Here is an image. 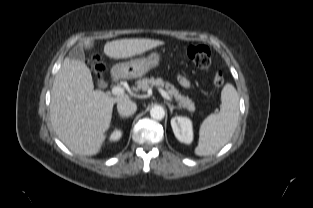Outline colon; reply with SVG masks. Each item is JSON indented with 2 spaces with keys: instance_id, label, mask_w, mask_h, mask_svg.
I'll use <instances>...</instances> for the list:
<instances>
[{
  "instance_id": "1",
  "label": "colon",
  "mask_w": 313,
  "mask_h": 208,
  "mask_svg": "<svg viewBox=\"0 0 313 208\" xmlns=\"http://www.w3.org/2000/svg\"><path fill=\"white\" fill-rule=\"evenodd\" d=\"M187 58L200 69H208L211 65V52L205 45H190L185 49ZM90 66L97 77L104 73V65L101 61L93 56L90 58ZM213 82L216 86H222L225 82L222 71H216L213 75Z\"/></svg>"
}]
</instances>
